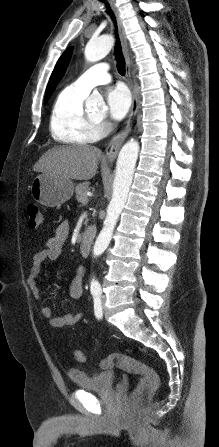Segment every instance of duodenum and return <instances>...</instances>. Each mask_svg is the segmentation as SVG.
Returning a JSON list of instances; mask_svg holds the SVG:
<instances>
[{"label": "duodenum", "mask_w": 219, "mask_h": 447, "mask_svg": "<svg viewBox=\"0 0 219 447\" xmlns=\"http://www.w3.org/2000/svg\"><path fill=\"white\" fill-rule=\"evenodd\" d=\"M95 229L88 227L84 230L81 236L79 248L82 256L87 257L90 254L91 244L94 238Z\"/></svg>", "instance_id": "1"}]
</instances>
